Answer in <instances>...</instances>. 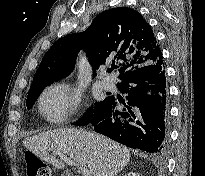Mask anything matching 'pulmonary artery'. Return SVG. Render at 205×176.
Listing matches in <instances>:
<instances>
[{"label":"pulmonary artery","mask_w":205,"mask_h":176,"mask_svg":"<svg viewBox=\"0 0 205 176\" xmlns=\"http://www.w3.org/2000/svg\"><path fill=\"white\" fill-rule=\"evenodd\" d=\"M102 85L105 89H114L115 83L112 78H104L102 80Z\"/></svg>","instance_id":"pulmonary-artery-1"}]
</instances>
